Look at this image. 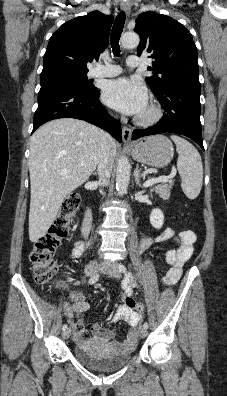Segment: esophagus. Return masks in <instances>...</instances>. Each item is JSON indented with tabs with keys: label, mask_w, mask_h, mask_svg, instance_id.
Instances as JSON below:
<instances>
[{
	"label": "esophagus",
	"mask_w": 227,
	"mask_h": 396,
	"mask_svg": "<svg viewBox=\"0 0 227 396\" xmlns=\"http://www.w3.org/2000/svg\"><path fill=\"white\" fill-rule=\"evenodd\" d=\"M121 9L126 14H129L131 9L130 3L128 1H123L121 3ZM122 139L125 144H129L131 141V129L128 128L127 126H123L122 128Z\"/></svg>",
	"instance_id": "34e87169"
}]
</instances>
